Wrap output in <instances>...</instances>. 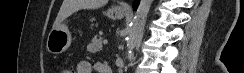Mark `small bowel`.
Listing matches in <instances>:
<instances>
[{"instance_id":"1","label":"small bowel","mask_w":244,"mask_h":73,"mask_svg":"<svg viewBox=\"0 0 244 73\" xmlns=\"http://www.w3.org/2000/svg\"><path fill=\"white\" fill-rule=\"evenodd\" d=\"M94 68L99 73H106L104 69L106 68L105 65L102 64H95ZM93 65L89 61H79L76 66L77 73H92Z\"/></svg>"}]
</instances>
